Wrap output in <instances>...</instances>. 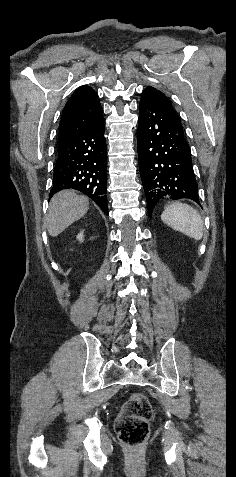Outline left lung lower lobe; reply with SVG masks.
<instances>
[{
	"label": "left lung lower lobe",
	"instance_id": "0a47b994",
	"mask_svg": "<svg viewBox=\"0 0 236 477\" xmlns=\"http://www.w3.org/2000/svg\"><path fill=\"white\" fill-rule=\"evenodd\" d=\"M138 158L148 213L164 199L199 203L191 151L182 124L166 96L147 87L139 104Z\"/></svg>",
	"mask_w": 236,
	"mask_h": 477
}]
</instances>
